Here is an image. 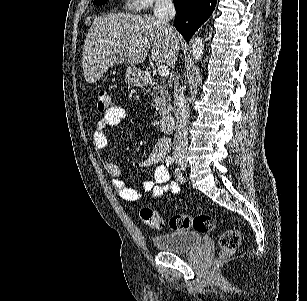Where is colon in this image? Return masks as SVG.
<instances>
[{
    "label": "colon",
    "mask_w": 307,
    "mask_h": 301,
    "mask_svg": "<svg viewBox=\"0 0 307 301\" xmlns=\"http://www.w3.org/2000/svg\"><path fill=\"white\" fill-rule=\"evenodd\" d=\"M111 106L109 94L101 90L97 98V110L100 113L106 112ZM140 216L145 225L152 229H161L164 227V221L159 213L151 208L145 207L140 211ZM169 226L172 230H194L199 233H208L215 227V219L205 213L196 215L177 214L169 220ZM241 244V234L237 229H228L224 231L219 238L221 248V258L232 255Z\"/></svg>",
    "instance_id": "1"
}]
</instances>
